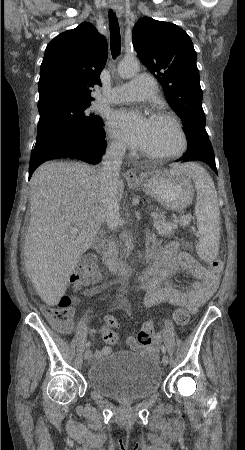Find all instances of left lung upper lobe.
I'll return each mask as SVG.
<instances>
[{
  "label": "left lung upper lobe",
  "instance_id": "5c2ea615",
  "mask_svg": "<svg viewBox=\"0 0 245 450\" xmlns=\"http://www.w3.org/2000/svg\"><path fill=\"white\" fill-rule=\"evenodd\" d=\"M132 41L139 59L160 82L169 105L183 121L186 153L210 148L196 52L188 34L173 23L144 17L135 24Z\"/></svg>",
  "mask_w": 245,
  "mask_h": 450
}]
</instances>
